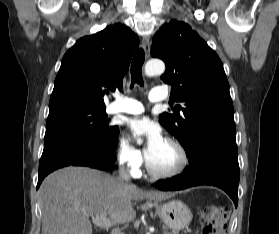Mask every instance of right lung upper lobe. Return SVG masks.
I'll list each match as a JSON object with an SVG mask.
<instances>
[{
    "label": "right lung upper lobe",
    "mask_w": 279,
    "mask_h": 234,
    "mask_svg": "<svg viewBox=\"0 0 279 234\" xmlns=\"http://www.w3.org/2000/svg\"><path fill=\"white\" fill-rule=\"evenodd\" d=\"M138 46V36L121 23L80 38L62 59L50 110L71 106L105 109L104 94L122 88Z\"/></svg>",
    "instance_id": "cb5924a9"
}]
</instances>
